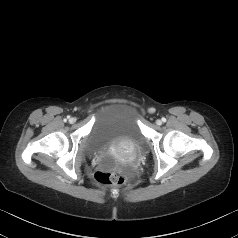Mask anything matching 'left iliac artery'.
Returning <instances> with one entry per match:
<instances>
[{
  "instance_id": "44dca946",
  "label": "left iliac artery",
  "mask_w": 238,
  "mask_h": 238,
  "mask_svg": "<svg viewBox=\"0 0 238 238\" xmlns=\"http://www.w3.org/2000/svg\"><path fill=\"white\" fill-rule=\"evenodd\" d=\"M162 121H163V122H166V118L163 117V118H162Z\"/></svg>"
}]
</instances>
